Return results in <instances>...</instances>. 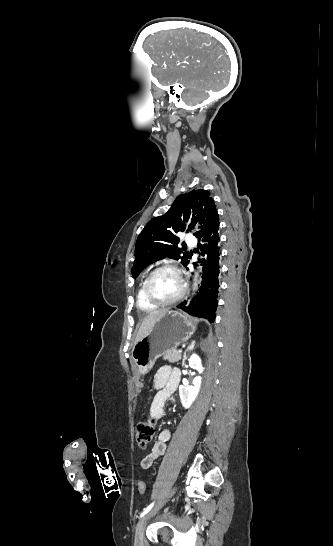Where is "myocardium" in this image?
Segmentation results:
<instances>
[{
  "label": "myocardium",
  "instance_id": "1",
  "mask_svg": "<svg viewBox=\"0 0 333 546\" xmlns=\"http://www.w3.org/2000/svg\"><path fill=\"white\" fill-rule=\"evenodd\" d=\"M163 270H170V271H173L174 273H176L179 280H180V283H181L180 292L178 293L177 296H175L174 298H172L170 300H159L158 298L153 296V294L151 293L150 288H149L150 282H151L152 278L154 277V275L157 274L160 271H163ZM143 290H144V295H145L146 299L150 303H152V304H154L156 306H168V305L175 304L176 302H178L179 300H181L183 298V296L186 293V283H185V281H184V279L182 277L181 271L179 270V268L176 265L163 264V265H160V266L156 267L154 270H152L149 273V275L146 277V279L144 281Z\"/></svg>",
  "mask_w": 333,
  "mask_h": 546
}]
</instances>
